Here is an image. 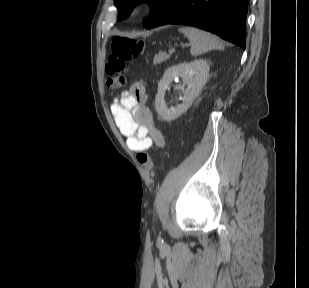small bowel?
<instances>
[{
  "label": "small bowel",
  "instance_id": "1",
  "mask_svg": "<svg viewBox=\"0 0 309 288\" xmlns=\"http://www.w3.org/2000/svg\"><path fill=\"white\" fill-rule=\"evenodd\" d=\"M146 92L141 84L122 92L111 104L115 123L134 152L149 150L153 145L163 147L164 136L146 105Z\"/></svg>",
  "mask_w": 309,
  "mask_h": 288
}]
</instances>
